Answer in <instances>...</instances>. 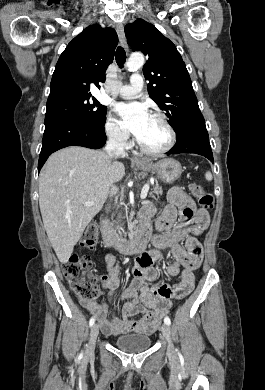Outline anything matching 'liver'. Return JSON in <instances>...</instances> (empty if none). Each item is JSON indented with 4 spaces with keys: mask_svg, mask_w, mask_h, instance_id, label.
I'll list each match as a JSON object with an SVG mask.
<instances>
[{
    "mask_svg": "<svg viewBox=\"0 0 265 390\" xmlns=\"http://www.w3.org/2000/svg\"><path fill=\"white\" fill-rule=\"evenodd\" d=\"M105 151L70 146L53 153L39 177V206L48 239L67 263L110 188L125 175L123 163ZM86 202H93L86 206Z\"/></svg>",
    "mask_w": 265,
    "mask_h": 390,
    "instance_id": "liver-1",
    "label": "liver"
}]
</instances>
